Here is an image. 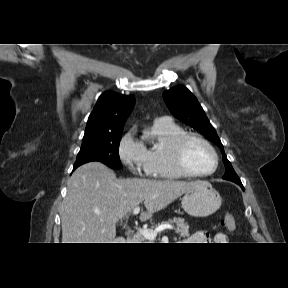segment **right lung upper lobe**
Here are the masks:
<instances>
[{"instance_id": "right-lung-upper-lobe-1", "label": "right lung upper lobe", "mask_w": 288, "mask_h": 288, "mask_svg": "<svg viewBox=\"0 0 288 288\" xmlns=\"http://www.w3.org/2000/svg\"><path fill=\"white\" fill-rule=\"evenodd\" d=\"M134 102L133 95L104 92L88 118L83 141L121 132L133 109Z\"/></svg>"}]
</instances>
